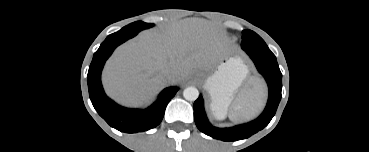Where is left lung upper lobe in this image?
Masks as SVG:
<instances>
[{
	"label": "left lung upper lobe",
	"mask_w": 369,
	"mask_h": 152,
	"mask_svg": "<svg viewBox=\"0 0 369 152\" xmlns=\"http://www.w3.org/2000/svg\"><path fill=\"white\" fill-rule=\"evenodd\" d=\"M241 47L248 55L254 54L257 56L275 57L264 40L251 30H244L242 32Z\"/></svg>",
	"instance_id": "obj_1"
}]
</instances>
